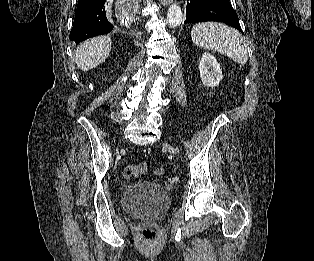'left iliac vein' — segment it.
Masks as SVG:
<instances>
[{
  "label": "left iliac vein",
  "mask_w": 314,
  "mask_h": 261,
  "mask_svg": "<svg viewBox=\"0 0 314 261\" xmlns=\"http://www.w3.org/2000/svg\"><path fill=\"white\" fill-rule=\"evenodd\" d=\"M164 146L167 147L172 153L177 152L176 149L173 146L169 145L168 143H165Z\"/></svg>",
  "instance_id": "obj_1"
}]
</instances>
